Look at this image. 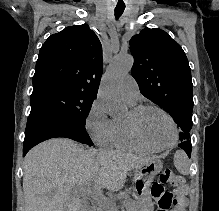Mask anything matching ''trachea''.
I'll return each instance as SVG.
<instances>
[{
	"mask_svg": "<svg viewBox=\"0 0 219 211\" xmlns=\"http://www.w3.org/2000/svg\"><path fill=\"white\" fill-rule=\"evenodd\" d=\"M125 5H116L115 7V18H119L124 12Z\"/></svg>",
	"mask_w": 219,
	"mask_h": 211,
	"instance_id": "obj_1",
	"label": "trachea"
}]
</instances>
